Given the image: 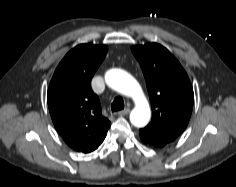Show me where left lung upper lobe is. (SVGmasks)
Here are the masks:
<instances>
[{
  "label": "left lung upper lobe",
  "instance_id": "1",
  "mask_svg": "<svg viewBox=\"0 0 236 187\" xmlns=\"http://www.w3.org/2000/svg\"><path fill=\"white\" fill-rule=\"evenodd\" d=\"M142 68L152 107V121L140 129L143 141L163 147L186 128L194 93L189 77L178 60L162 45L133 46Z\"/></svg>",
  "mask_w": 236,
  "mask_h": 187
}]
</instances>
